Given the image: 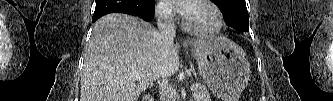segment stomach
I'll list each match as a JSON object with an SVG mask.
<instances>
[{"label": "stomach", "instance_id": "1", "mask_svg": "<svg viewBox=\"0 0 333 101\" xmlns=\"http://www.w3.org/2000/svg\"><path fill=\"white\" fill-rule=\"evenodd\" d=\"M193 52L201 76L210 90L223 101H238L248 84L250 65L243 49L224 37L204 40L199 55Z\"/></svg>", "mask_w": 333, "mask_h": 101}]
</instances>
